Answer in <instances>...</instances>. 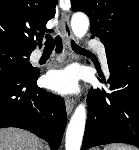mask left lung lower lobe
I'll return each instance as SVG.
<instances>
[{"label": "left lung lower lobe", "mask_w": 139, "mask_h": 150, "mask_svg": "<svg viewBox=\"0 0 139 150\" xmlns=\"http://www.w3.org/2000/svg\"><path fill=\"white\" fill-rule=\"evenodd\" d=\"M107 62L112 92L93 88L89 92L81 150L110 143L139 148V38L119 47L107 56Z\"/></svg>", "instance_id": "obj_1"}]
</instances>
